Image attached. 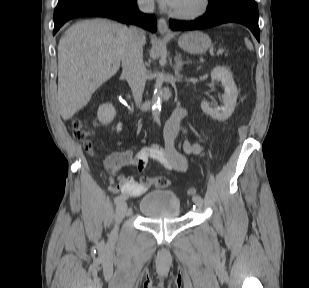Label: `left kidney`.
Wrapping results in <instances>:
<instances>
[{
    "label": "left kidney",
    "instance_id": "1",
    "mask_svg": "<svg viewBox=\"0 0 309 288\" xmlns=\"http://www.w3.org/2000/svg\"><path fill=\"white\" fill-rule=\"evenodd\" d=\"M211 78L213 81H221L224 87V105L223 107L216 109L212 108L206 101H202L201 109L212 118L218 121H224L228 119L234 112L238 96V90L234 83L232 73L226 67H215L211 71Z\"/></svg>",
    "mask_w": 309,
    "mask_h": 288
}]
</instances>
